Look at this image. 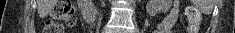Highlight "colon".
<instances>
[{
    "label": "colon",
    "mask_w": 235,
    "mask_h": 33,
    "mask_svg": "<svg viewBox=\"0 0 235 33\" xmlns=\"http://www.w3.org/2000/svg\"><path fill=\"white\" fill-rule=\"evenodd\" d=\"M74 9L69 0H59L53 7L50 16L51 19L47 21L44 33H62L63 25L59 22L65 23L67 26L74 24ZM185 15L189 23V32L197 33L200 23L201 13L193 5H190L185 10Z\"/></svg>",
    "instance_id": "1"
}]
</instances>
